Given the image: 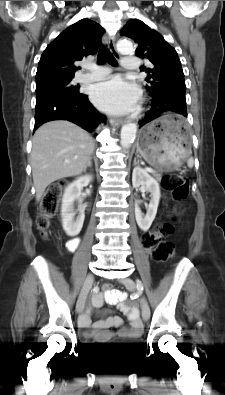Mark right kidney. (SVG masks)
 <instances>
[{
	"label": "right kidney",
	"mask_w": 225,
	"mask_h": 395,
	"mask_svg": "<svg viewBox=\"0 0 225 395\" xmlns=\"http://www.w3.org/2000/svg\"><path fill=\"white\" fill-rule=\"evenodd\" d=\"M92 180L93 177L91 175L81 176L72 182L64 191L61 205V217L63 229L69 236L78 235L82 229L85 218V208L82 206L80 194L82 188L87 186ZM75 201H78L77 210L74 209ZM76 214H78V216L75 218Z\"/></svg>",
	"instance_id": "right-kidney-1"
}]
</instances>
